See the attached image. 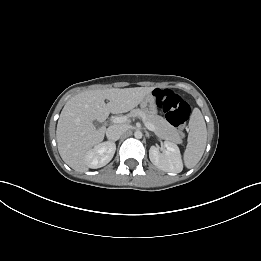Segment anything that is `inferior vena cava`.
<instances>
[{"instance_id": "1", "label": "inferior vena cava", "mask_w": 261, "mask_h": 261, "mask_svg": "<svg viewBox=\"0 0 261 261\" xmlns=\"http://www.w3.org/2000/svg\"><path fill=\"white\" fill-rule=\"evenodd\" d=\"M127 131V127L124 125H112L107 128L106 136L111 141L118 140L125 132Z\"/></svg>"}]
</instances>
